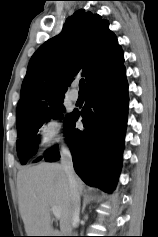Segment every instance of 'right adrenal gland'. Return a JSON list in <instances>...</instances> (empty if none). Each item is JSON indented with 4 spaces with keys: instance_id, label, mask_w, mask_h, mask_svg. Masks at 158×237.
Segmentation results:
<instances>
[{
    "instance_id": "obj_1",
    "label": "right adrenal gland",
    "mask_w": 158,
    "mask_h": 237,
    "mask_svg": "<svg viewBox=\"0 0 158 237\" xmlns=\"http://www.w3.org/2000/svg\"><path fill=\"white\" fill-rule=\"evenodd\" d=\"M95 200H97V196H92V195L85 193L83 195V206H82L81 213L82 214L84 213V210H85V207L87 204H89L90 202L95 201Z\"/></svg>"
}]
</instances>
